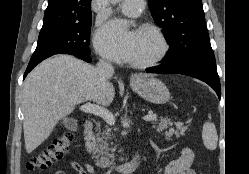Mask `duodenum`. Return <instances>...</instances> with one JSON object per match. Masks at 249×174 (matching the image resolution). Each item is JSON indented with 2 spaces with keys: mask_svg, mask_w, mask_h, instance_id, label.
Here are the masks:
<instances>
[{
  "mask_svg": "<svg viewBox=\"0 0 249 174\" xmlns=\"http://www.w3.org/2000/svg\"><path fill=\"white\" fill-rule=\"evenodd\" d=\"M94 122L92 120H86L84 122V142L86 145H90L93 142V131ZM142 154L136 153L134 158L127 163L120 165H112L110 168L117 174H131L133 173L141 164Z\"/></svg>",
  "mask_w": 249,
  "mask_h": 174,
  "instance_id": "410a0bca",
  "label": "duodenum"
}]
</instances>
